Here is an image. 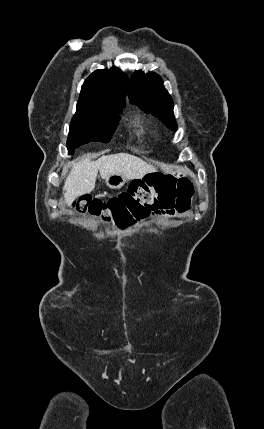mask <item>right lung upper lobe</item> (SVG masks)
<instances>
[{
	"instance_id": "obj_1",
	"label": "right lung upper lobe",
	"mask_w": 264,
	"mask_h": 429,
	"mask_svg": "<svg viewBox=\"0 0 264 429\" xmlns=\"http://www.w3.org/2000/svg\"><path fill=\"white\" fill-rule=\"evenodd\" d=\"M127 76L116 67L94 71L84 82L79 103L125 105Z\"/></svg>"
}]
</instances>
